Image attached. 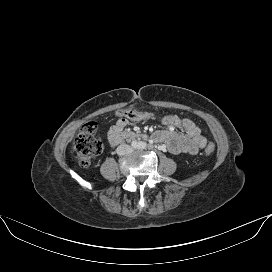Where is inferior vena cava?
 Wrapping results in <instances>:
<instances>
[{"mask_svg": "<svg viewBox=\"0 0 272 272\" xmlns=\"http://www.w3.org/2000/svg\"><path fill=\"white\" fill-rule=\"evenodd\" d=\"M132 151H133L132 147L127 144H121L116 149V153L120 156L130 154Z\"/></svg>", "mask_w": 272, "mask_h": 272, "instance_id": "1", "label": "inferior vena cava"}]
</instances>
